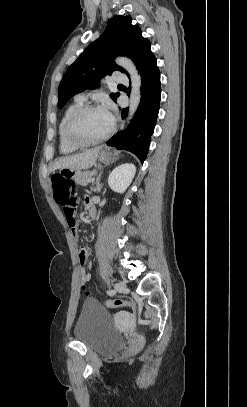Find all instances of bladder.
Wrapping results in <instances>:
<instances>
[{"label":"bladder","mask_w":247,"mask_h":407,"mask_svg":"<svg viewBox=\"0 0 247 407\" xmlns=\"http://www.w3.org/2000/svg\"><path fill=\"white\" fill-rule=\"evenodd\" d=\"M74 337L99 354L115 353L124 342V336L112 323L110 314L93 298H87L83 303Z\"/></svg>","instance_id":"1"}]
</instances>
